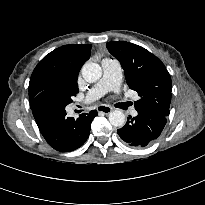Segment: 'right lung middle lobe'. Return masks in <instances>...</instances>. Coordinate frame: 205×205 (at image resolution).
<instances>
[{
  "label": "right lung middle lobe",
  "instance_id": "right-lung-middle-lobe-1",
  "mask_svg": "<svg viewBox=\"0 0 205 205\" xmlns=\"http://www.w3.org/2000/svg\"><path fill=\"white\" fill-rule=\"evenodd\" d=\"M66 95L72 97L78 93V85L76 79H68L66 87L62 90ZM70 101V100H69Z\"/></svg>",
  "mask_w": 205,
  "mask_h": 205
}]
</instances>
